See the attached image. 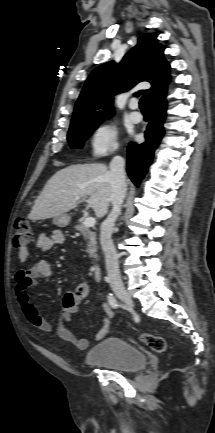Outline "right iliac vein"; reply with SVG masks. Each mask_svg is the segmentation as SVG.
<instances>
[{
	"mask_svg": "<svg viewBox=\"0 0 215 433\" xmlns=\"http://www.w3.org/2000/svg\"><path fill=\"white\" fill-rule=\"evenodd\" d=\"M117 296L129 307L134 306L133 299L131 298L130 294L126 291H119L117 292Z\"/></svg>",
	"mask_w": 215,
	"mask_h": 433,
	"instance_id": "right-iliac-vein-1",
	"label": "right iliac vein"
}]
</instances>
